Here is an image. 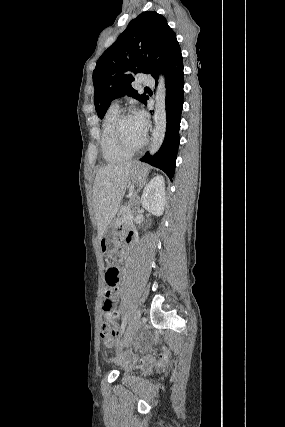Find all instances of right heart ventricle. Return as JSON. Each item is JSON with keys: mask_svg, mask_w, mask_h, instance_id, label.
<instances>
[{"mask_svg": "<svg viewBox=\"0 0 285 427\" xmlns=\"http://www.w3.org/2000/svg\"><path fill=\"white\" fill-rule=\"evenodd\" d=\"M119 114V107L112 104L102 122L99 143L104 159L110 163L123 162L132 156L131 152L125 151L119 146L114 136L113 128Z\"/></svg>", "mask_w": 285, "mask_h": 427, "instance_id": "obj_1", "label": "right heart ventricle"}]
</instances>
